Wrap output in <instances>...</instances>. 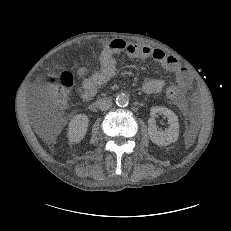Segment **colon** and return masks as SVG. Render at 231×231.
Returning a JSON list of instances; mask_svg holds the SVG:
<instances>
[{
    "label": "colon",
    "mask_w": 231,
    "mask_h": 231,
    "mask_svg": "<svg viewBox=\"0 0 231 231\" xmlns=\"http://www.w3.org/2000/svg\"><path fill=\"white\" fill-rule=\"evenodd\" d=\"M73 82V75L69 71L50 74L47 78L49 99L60 111L67 107L68 93ZM166 95L171 100L177 99L180 96V89L177 86H170Z\"/></svg>",
    "instance_id": "5ec220e1"
}]
</instances>
